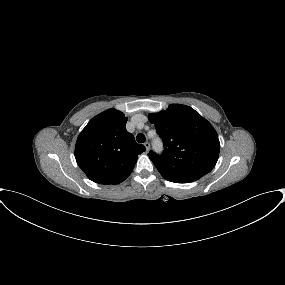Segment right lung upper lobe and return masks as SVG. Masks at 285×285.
Instances as JSON below:
<instances>
[{
	"mask_svg": "<svg viewBox=\"0 0 285 285\" xmlns=\"http://www.w3.org/2000/svg\"><path fill=\"white\" fill-rule=\"evenodd\" d=\"M127 117L108 109L92 118L79 134L75 158L88 178L99 184H118L131 174L145 146L126 128Z\"/></svg>",
	"mask_w": 285,
	"mask_h": 285,
	"instance_id": "obj_1",
	"label": "right lung upper lobe"
}]
</instances>
